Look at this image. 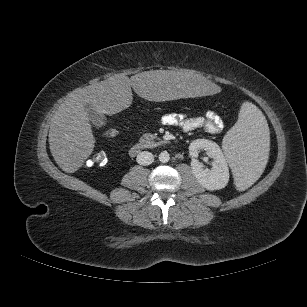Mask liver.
I'll use <instances>...</instances> for the list:
<instances>
[{
    "label": "liver",
    "mask_w": 307,
    "mask_h": 307,
    "mask_svg": "<svg viewBox=\"0 0 307 307\" xmlns=\"http://www.w3.org/2000/svg\"><path fill=\"white\" fill-rule=\"evenodd\" d=\"M131 87L140 97L156 102L193 95L216 99L223 92L220 82H208L192 70H152L131 78L118 75L76 89L59 106L49 129V148L63 171H77L94 149L86 107L89 105L100 114H116L132 103Z\"/></svg>",
    "instance_id": "liver-1"
}]
</instances>
